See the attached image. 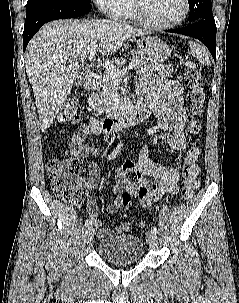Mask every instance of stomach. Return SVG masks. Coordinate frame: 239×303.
Segmentation results:
<instances>
[{
  "instance_id": "stomach-1",
  "label": "stomach",
  "mask_w": 239,
  "mask_h": 303,
  "mask_svg": "<svg viewBox=\"0 0 239 303\" xmlns=\"http://www.w3.org/2000/svg\"><path fill=\"white\" fill-rule=\"evenodd\" d=\"M139 52L155 63L168 59L171 53L170 47L162 40L154 36H143L137 40Z\"/></svg>"
}]
</instances>
